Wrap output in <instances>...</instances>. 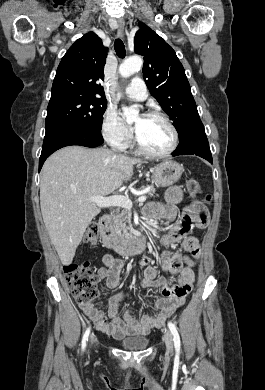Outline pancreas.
<instances>
[{"label": "pancreas", "instance_id": "cf45deb5", "mask_svg": "<svg viewBox=\"0 0 265 390\" xmlns=\"http://www.w3.org/2000/svg\"><path fill=\"white\" fill-rule=\"evenodd\" d=\"M155 193V188H149L147 194L153 196ZM112 219V228L119 236L130 237L128 232L127 220H126V211L120 208L116 209L111 213Z\"/></svg>", "mask_w": 265, "mask_h": 390}]
</instances>
